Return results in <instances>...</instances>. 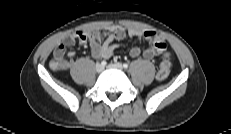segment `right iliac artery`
<instances>
[{"mask_svg":"<svg viewBox=\"0 0 231 134\" xmlns=\"http://www.w3.org/2000/svg\"><path fill=\"white\" fill-rule=\"evenodd\" d=\"M106 64H107L106 61H102V62H101V65H102L103 67L106 66Z\"/></svg>","mask_w":231,"mask_h":134,"instance_id":"1","label":"right iliac artery"}]
</instances>
